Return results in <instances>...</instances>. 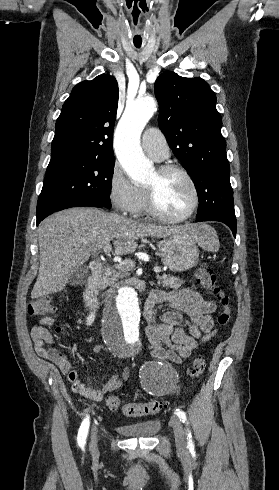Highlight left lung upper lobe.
<instances>
[{"label":"left lung upper lobe","instance_id":"obj_1","mask_svg":"<svg viewBox=\"0 0 279 490\" xmlns=\"http://www.w3.org/2000/svg\"><path fill=\"white\" fill-rule=\"evenodd\" d=\"M155 95L160 105L159 127L197 190L196 219L217 215L235 220L230 166L215 93L201 78L167 71L157 78Z\"/></svg>","mask_w":279,"mask_h":490}]
</instances>
